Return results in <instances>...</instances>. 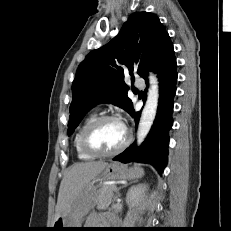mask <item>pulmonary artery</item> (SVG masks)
Here are the masks:
<instances>
[{
  "mask_svg": "<svg viewBox=\"0 0 231 231\" xmlns=\"http://www.w3.org/2000/svg\"><path fill=\"white\" fill-rule=\"evenodd\" d=\"M134 87L137 89H143L144 88V81L142 79H135Z\"/></svg>",
  "mask_w": 231,
  "mask_h": 231,
  "instance_id": "pulmonary-artery-1",
  "label": "pulmonary artery"
}]
</instances>
